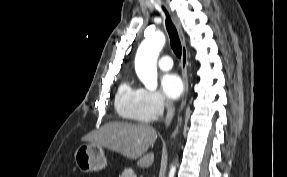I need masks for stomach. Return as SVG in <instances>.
<instances>
[{
    "instance_id": "obj_1",
    "label": "stomach",
    "mask_w": 287,
    "mask_h": 177,
    "mask_svg": "<svg viewBox=\"0 0 287 177\" xmlns=\"http://www.w3.org/2000/svg\"><path fill=\"white\" fill-rule=\"evenodd\" d=\"M76 166L83 173L102 170L107 165L102 146L92 143L79 146L74 155Z\"/></svg>"
}]
</instances>
